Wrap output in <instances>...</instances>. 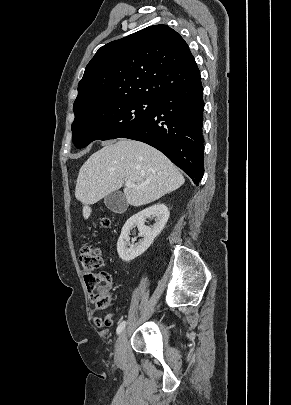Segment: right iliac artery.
Here are the masks:
<instances>
[{"instance_id": "obj_1", "label": "right iliac artery", "mask_w": 291, "mask_h": 405, "mask_svg": "<svg viewBox=\"0 0 291 405\" xmlns=\"http://www.w3.org/2000/svg\"><path fill=\"white\" fill-rule=\"evenodd\" d=\"M125 325H126L125 321L121 322L117 327L116 333L120 334L123 331V329L125 328Z\"/></svg>"}]
</instances>
